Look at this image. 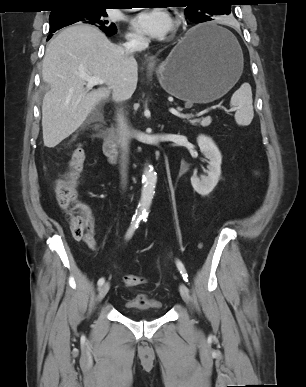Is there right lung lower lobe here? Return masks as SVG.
Masks as SVG:
<instances>
[{"label": "right lung lower lobe", "instance_id": "98d812e1", "mask_svg": "<svg viewBox=\"0 0 306 387\" xmlns=\"http://www.w3.org/2000/svg\"><path fill=\"white\" fill-rule=\"evenodd\" d=\"M116 32H117V30H116V31H111V32L105 31V33H106L107 35H109V36L115 34ZM51 36H52V35H49V36H48V39H50Z\"/></svg>", "mask_w": 306, "mask_h": 387}]
</instances>
